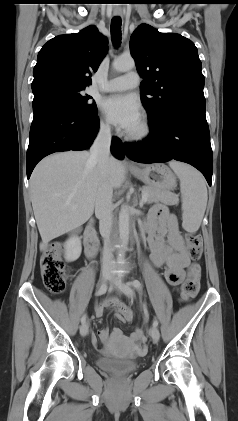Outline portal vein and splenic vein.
<instances>
[{"instance_id":"obj_1","label":"portal vein and splenic vein","mask_w":238,"mask_h":421,"mask_svg":"<svg viewBox=\"0 0 238 421\" xmlns=\"http://www.w3.org/2000/svg\"><path fill=\"white\" fill-rule=\"evenodd\" d=\"M147 197H148V194L146 192H143L142 193V200H141V202L142 203H145L147 201Z\"/></svg>"}]
</instances>
